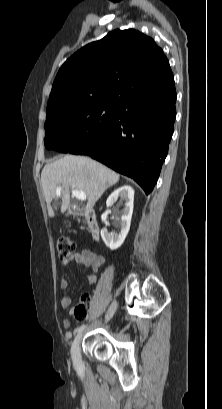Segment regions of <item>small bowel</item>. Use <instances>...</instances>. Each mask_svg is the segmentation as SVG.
<instances>
[{"mask_svg": "<svg viewBox=\"0 0 222 409\" xmlns=\"http://www.w3.org/2000/svg\"><path fill=\"white\" fill-rule=\"evenodd\" d=\"M70 261H75L79 264L84 265L87 268L93 270V273H90L86 276V280L89 285H93L97 281V272L102 264V259L96 256L90 250L84 249L78 253H76L72 258H70L66 263ZM60 286L62 289H67L69 286V281L66 278H63L60 282ZM72 304V300L68 295H64L60 299V305L62 308L67 309L70 308ZM63 326L66 329L65 336L67 338L71 337L72 333L69 330L71 326V321L68 318L63 320Z\"/></svg>", "mask_w": 222, "mask_h": 409, "instance_id": "c3829d8e", "label": "small bowel"}]
</instances>
